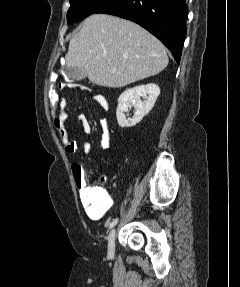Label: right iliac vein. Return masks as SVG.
<instances>
[{
	"mask_svg": "<svg viewBox=\"0 0 240 287\" xmlns=\"http://www.w3.org/2000/svg\"><path fill=\"white\" fill-rule=\"evenodd\" d=\"M116 230L112 229L108 235V254L113 255L115 251Z\"/></svg>",
	"mask_w": 240,
	"mask_h": 287,
	"instance_id": "obj_1",
	"label": "right iliac vein"
}]
</instances>
